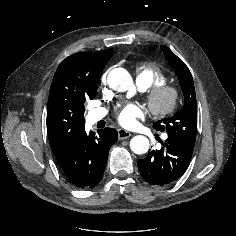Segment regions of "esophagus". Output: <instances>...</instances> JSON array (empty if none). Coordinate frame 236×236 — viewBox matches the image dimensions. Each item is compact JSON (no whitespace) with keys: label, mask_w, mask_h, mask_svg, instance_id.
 Segmentation results:
<instances>
[{"label":"esophagus","mask_w":236,"mask_h":236,"mask_svg":"<svg viewBox=\"0 0 236 236\" xmlns=\"http://www.w3.org/2000/svg\"><path fill=\"white\" fill-rule=\"evenodd\" d=\"M131 136V133L127 130H124V129H118V138L120 140L122 139H127Z\"/></svg>","instance_id":"34e87169"}]
</instances>
